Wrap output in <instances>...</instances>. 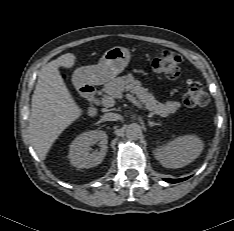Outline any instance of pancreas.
Segmentation results:
<instances>
[{
  "label": "pancreas",
  "instance_id": "obj_1",
  "mask_svg": "<svg viewBox=\"0 0 234 231\" xmlns=\"http://www.w3.org/2000/svg\"><path fill=\"white\" fill-rule=\"evenodd\" d=\"M124 91H130L147 110L162 117L175 113L180 107V103L175 101H167L164 104L158 102L132 75L117 77L105 84L103 92L107 95H104L103 98L118 99L122 97Z\"/></svg>",
  "mask_w": 234,
  "mask_h": 231
}]
</instances>
